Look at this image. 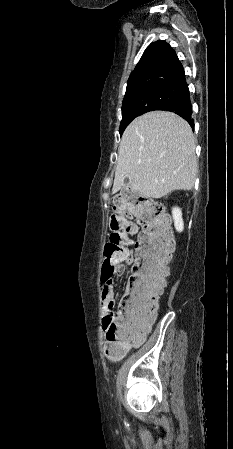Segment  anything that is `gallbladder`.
Here are the masks:
<instances>
[{
    "instance_id": "obj_1",
    "label": "gallbladder",
    "mask_w": 233,
    "mask_h": 449,
    "mask_svg": "<svg viewBox=\"0 0 233 449\" xmlns=\"http://www.w3.org/2000/svg\"><path fill=\"white\" fill-rule=\"evenodd\" d=\"M129 185L130 184H129L128 178H125L124 185H123L122 190H121V194L122 195H130L131 197L139 196L138 192H134V191H131V190L128 189Z\"/></svg>"
}]
</instances>
